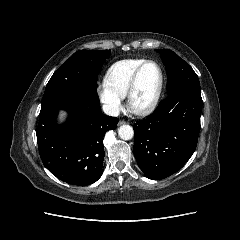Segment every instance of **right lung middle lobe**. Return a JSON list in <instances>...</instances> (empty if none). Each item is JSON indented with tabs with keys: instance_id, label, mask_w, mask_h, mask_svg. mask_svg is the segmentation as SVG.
<instances>
[{
	"instance_id": "dd1d6c3e",
	"label": "right lung middle lobe",
	"mask_w": 240,
	"mask_h": 240,
	"mask_svg": "<svg viewBox=\"0 0 240 240\" xmlns=\"http://www.w3.org/2000/svg\"><path fill=\"white\" fill-rule=\"evenodd\" d=\"M110 50H80L62 64L50 78L42 104L64 96L97 97V76Z\"/></svg>"
}]
</instances>
